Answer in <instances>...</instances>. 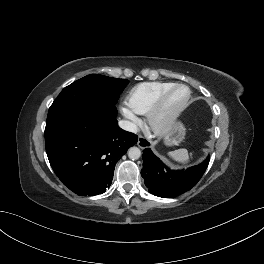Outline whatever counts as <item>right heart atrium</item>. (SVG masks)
<instances>
[{"instance_id": "d8ad5b80", "label": "right heart atrium", "mask_w": 264, "mask_h": 264, "mask_svg": "<svg viewBox=\"0 0 264 264\" xmlns=\"http://www.w3.org/2000/svg\"><path fill=\"white\" fill-rule=\"evenodd\" d=\"M121 111L123 115L128 118L133 124H137L139 119L136 114L128 107H122Z\"/></svg>"}]
</instances>
